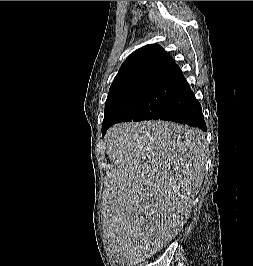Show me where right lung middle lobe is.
<instances>
[{
	"mask_svg": "<svg viewBox=\"0 0 253 266\" xmlns=\"http://www.w3.org/2000/svg\"><path fill=\"white\" fill-rule=\"evenodd\" d=\"M173 88L170 84L154 85L106 102L102 129L114 122L158 119L169 106Z\"/></svg>",
	"mask_w": 253,
	"mask_h": 266,
	"instance_id": "right-lung-middle-lobe-1",
	"label": "right lung middle lobe"
}]
</instances>
